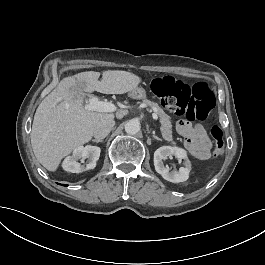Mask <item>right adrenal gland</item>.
Returning <instances> with one entry per match:
<instances>
[{
	"label": "right adrenal gland",
	"mask_w": 265,
	"mask_h": 265,
	"mask_svg": "<svg viewBox=\"0 0 265 265\" xmlns=\"http://www.w3.org/2000/svg\"><path fill=\"white\" fill-rule=\"evenodd\" d=\"M92 142H95V143H99V142L104 143V140L103 139H101V140L95 139V140H92Z\"/></svg>",
	"instance_id": "right-adrenal-gland-1"
}]
</instances>
